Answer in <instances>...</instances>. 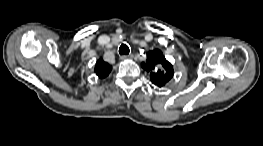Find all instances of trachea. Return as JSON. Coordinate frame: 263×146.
<instances>
[{
	"label": "trachea",
	"mask_w": 263,
	"mask_h": 146,
	"mask_svg": "<svg viewBox=\"0 0 263 146\" xmlns=\"http://www.w3.org/2000/svg\"><path fill=\"white\" fill-rule=\"evenodd\" d=\"M129 52H130V49H129V47L126 44H122L119 47L120 55H127V54H129Z\"/></svg>",
	"instance_id": "1"
}]
</instances>
